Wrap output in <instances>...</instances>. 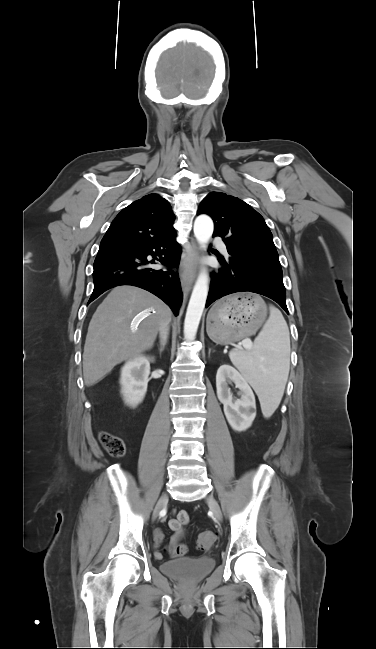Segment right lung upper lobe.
<instances>
[{
	"label": "right lung upper lobe",
	"instance_id": "1",
	"mask_svg": "<svg viewBox=\"0 0 376 649\" xmlns=\"http://www.w3.org/2000/svg\"><path fill=\"white\" fill-rule=\"evenodd\" d=\"M169 202L149 194L124 208L113 220L97 255L130 250L175 233Z\"/></svg>",
	"mask_w": 376,
	"mask_h": 649
}]
</instances>
